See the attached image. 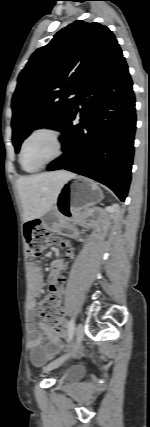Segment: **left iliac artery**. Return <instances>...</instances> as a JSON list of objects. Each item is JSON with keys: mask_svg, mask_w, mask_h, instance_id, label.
Instances as JSON below:
<instances>
[{"mask_svg": "<svg viewBox=\"0 0 150 427\" xmlns=\"http://www.w3.org/2000/svg\"><path fill=\"white\" fill-rule=\"evenodd\" d=\"M74 330H75V323H74V319L72 318L68 324V341L72 339L74 335Z\"/></svg>", "mask_w": 150, "mask_h": 427, "instance_id": "1", "label": "left iliac artery"}]
</instances>
